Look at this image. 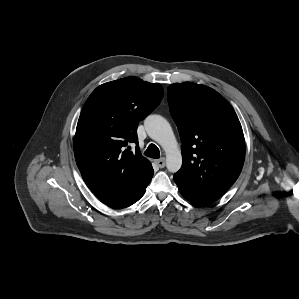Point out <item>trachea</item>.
<instances>
[{
	"instance_id": "1",
	"label": "trachea",
	"mask_w": 299,
	"mask_h": 299,
	"mask_svg": "<svg viewBox=\"0 0 299 299\" xmlns=\"http://www.w3.org/2000/svg\"><path fill=\"white\" fill-rule=\"evenodd\" d=\"M144 154L146 156L154 158V159L160 158V151H159L158 147L154 144H150L148 146V148L146 149V151L144 152Z\"/></svg>"
}]
</instances>
